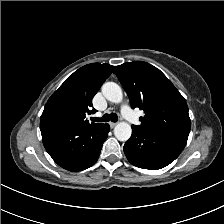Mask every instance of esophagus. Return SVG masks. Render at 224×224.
Returning a JSON list of instances; mask_svg holds the SVG:
<instances>
[{"label":"esophagus","instance_id":"obj_1","mask_svg":"<svg viewBox=\"0 0 224 224\" xmlns=\"http://www.w3.org/2000/svg\"><path fill=\"white\" fill-rule=\"evenodd\" d=\"M116 124H117V123H115V122H110V123H109V125H110L111 128H114V127L116 126Z\"/></svg>","mask_w":224,"mask_h":224}]
</instances>
